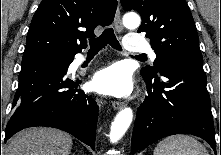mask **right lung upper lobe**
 <instances>
[{
    "mask_svg": "<svg viewBox=\"0 0 221 155\" xmlns=\"http://www.w3.org/2000/svg\"><path fill=\"white\" fill-rule=\"evenodd\" d=\"M116 0H42L27 34L23 57L53 54L74 57L86 48L97 26L110 25Z\"/></svg>",
    "mask_w": 221,
    "mask_h": 155,
    "instance_id": "right-lung-upper-lobe-1",
    "label": "right lung upper lobe"
}]
</instances>
